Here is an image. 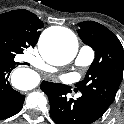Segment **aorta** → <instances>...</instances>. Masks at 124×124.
<instances>
[{
  "label": "aorta",
  "instance_id": "obj_1",
  "mask_svg": "<svg viewBox=\"0 0 124 124\" xmlns=\"http://www.w3.org/2000/svg\"><path fill=\"white\" fill-rule=\"evenodd\" d=\"M41 56L50 64L62 66L70 63L78 51L76 36L68 29L46 30L39 40ZM31 77L29 70L20 68L14 71L12 80L21 89L33 87L27 81Z\"/></svg>",
  "mask_w": 124,
  "mask_h": 124
}]
</instances>
